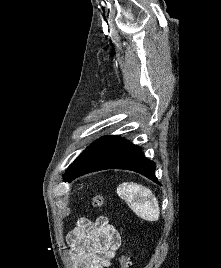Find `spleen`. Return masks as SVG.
Returning <instances> with one entry per match:
<instances>
[{
	"instance_id": "1",
	"label": "spleen",
	"mask_w": 221,
	"mask_h": 268,
	"mask_svg": "<svg viewBox=\"0 0 221 268\" xmlns=\"http://www.w3.org/2000/svg\"><path fill=\"white\" fill-rule=\"evenodd\" d=\"M117 194L140 218L148 221L158 220V201L147 187L137 183L124 182L117 187Z\"/></svg>"
}]
</instances>
